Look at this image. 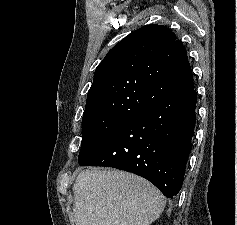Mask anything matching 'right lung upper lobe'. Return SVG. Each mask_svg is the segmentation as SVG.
<instances>
[{
    "label": "right lung upper lobe",
    "mask_w": 237,
    "mask_h": 225,
    "mask_svg": "<svg viewBox=\"0 0 237 225\" xmlns=\"http://www.w3.org/2000/svg\"><path fill=\"white\" fill-rule=\"evenodd\" d=\"M193 86L183 44L167 27L147 25L122 39L98 65L83 119L132 118Z\"/></svg>",
    "instance_id": "obj_1"
}]
</instances>
